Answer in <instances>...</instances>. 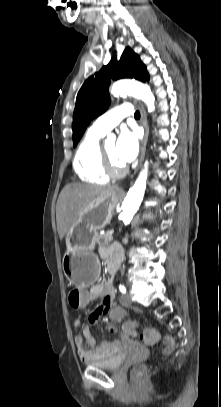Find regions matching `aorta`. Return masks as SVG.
I'll return each mask as SVG.
<instances>
[{
  "label": "aorta",
  "instance_id": "obj_1",
  "mask_svg": "<svg viewBox=\"0 0 221 407\" xmlns=\"http://www.w3.org/2000/svg\"><path fill=\"white\" fill-rule=\"evenodd\" d=\"M110 92L115 97L122 95H132L138 99H141L146 105L148 112H153L155 109V97L151 92L148 85L137 81L121 80L113 84ZM148 176V162L144 164V169L140 172L134 185L128 191L126 198L122 203L121 217L123 220L130 221L143 200L146 180Z\"/></svg>",
  "mask_w": 221,
  "mask_h": 407
}]
</instances>
